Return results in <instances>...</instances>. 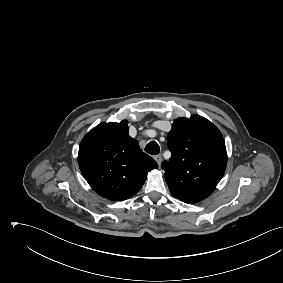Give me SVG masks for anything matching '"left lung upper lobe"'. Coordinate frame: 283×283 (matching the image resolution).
Listing matches in <instances>:
<instances>
[{
  "label": "left lung upper lobe",
  "instance_id": "left-lung-upper-lobe-1",
  "mask_svg": "<svg viewBox=\"0 0 283 283\" xmlns=\"http://www.w3.org/2000/svg\"><path fill=\"white\" fill-rule=\"evenodd\" d=\"M167 146L172 155L163 161L162 169L171 194L189 204L207 198L227 165L225 141L218 128L199 115L178 118L168 133Z\"/></svg>",
  "mask_w": 283,
  "mask_h": 283
}]
</instances>
